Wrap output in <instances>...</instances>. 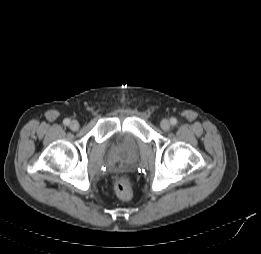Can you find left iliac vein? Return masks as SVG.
I'll list each match as a JSON object with an SVG mask.
<instances>
[{"label": "left iliac vein", "instance_id": "1", "mask_svg": "<svg viewBox=\"0 0 261 254\" xmlns=\"http://www.w3.org/2000/svg\"><path fill=\"white\" fill-rule=\"evenodd\" d=\"M160 126L164 131H168L171 127L170 122L167 119H163L160 123Z\"/></svg>", "mask_w": 261, "mask_h": 254}]
</instances>
